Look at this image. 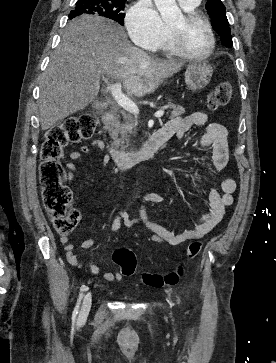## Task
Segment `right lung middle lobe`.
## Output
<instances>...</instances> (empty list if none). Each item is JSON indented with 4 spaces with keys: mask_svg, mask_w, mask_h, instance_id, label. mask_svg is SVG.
Here are the masks:
<instances>
[{
    "mask_svg": "<svg viewBox=\"0 0 276 363\" xmlns=\"http://www.w3.org/2000/svg\"><path fill=\"white\" fill-rule=\"evenodd\" d=\"M126 1L114 0H78L75 9L69 14L72 19L81 14H90L95 16H103L117 21L124 25V10Z\"/></svg>",
    "mask_w": 276,
    "mask_h": 363,
    "instance_id": "dd1d6c3e",
    "label": "right lung middle lobe"
}]
</instances>
